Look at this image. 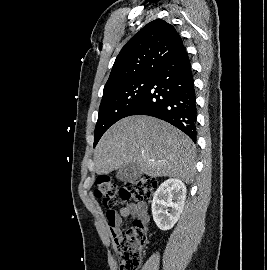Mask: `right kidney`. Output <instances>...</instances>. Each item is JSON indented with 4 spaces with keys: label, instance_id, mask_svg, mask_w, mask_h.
<instances>
[{
    "label": "right kidney",
    "instance_id": "right-kidney-1",
    "mask_svg": "<svg viewBox=\"0 0 267 270\" xmlns=\"http://www.w3.org/2000/svg\"><path fill=\"white\" fill-rule=\"evenodd\" d=\"M185 199L186 186L180 179H167L158 187L151 209L159 229L166 231L175 225L183 211Z\"/></svg>",
    "mask_w": 267,
    "mask_h": 270
}]
</instances>
